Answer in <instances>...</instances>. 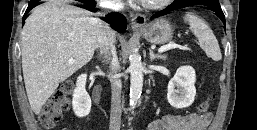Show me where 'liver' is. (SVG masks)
Instances as JSON below:
<instances>
[{"label":"liver","mask_w":257,"mask_h":130,"mask_svg":"<svg viewBox=\"0 0 257 130\" xmlns=\"http://www.w3.org/2000/svg\"><path fill=\"white\" fill-rule=\"evenodd\" d=\"M103 22L57 0L36 7L22 30V70L31 109L39 114L59 84L88 64ZM69 59H74L69 63Z\"/></svg>","instance_id":"6515ba94"}]
</instances>
